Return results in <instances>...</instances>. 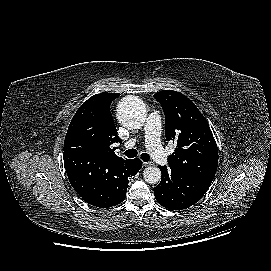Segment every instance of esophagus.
<instances>
[{"mask_svg": "<svg viewBox=\"0 0 271 271\" xmlns=\"http://www.w3.org/2000/svg\"><path fill=\"white\" fill-rule=\"evenodd\" d=\"M151 165H153L152 162H143L144 167H148V166H151Z\"/></svg>", "mask_w": 271, "mask_h": 271, "instance_id": "1", "label": "esophagus"}]
</instances>
